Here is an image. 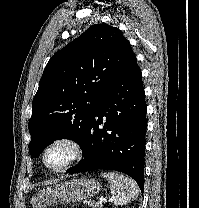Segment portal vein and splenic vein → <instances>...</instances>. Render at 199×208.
Instances as JSON below:
<instances>
[{"label": "portal vein and splenic vein", "instance_id": "obj_1", "mask_svg": "<svg viewBox=\"0 0 199 208\" xmlns=\"http://www.w3.org/2000/svg\"><path fill=\"white\" fill-rule=\"evenodd\" d=\"M103 201H106V199L101 198L99 201H97V204H98V205H102V202H103Z\"/></svg>", "mask_w": 199, "mask_h": 208}]
</instances>
